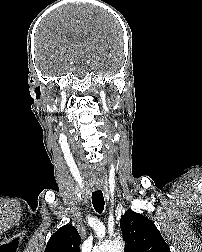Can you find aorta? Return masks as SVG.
<instances>
[{
    "mask_svg": "<svg viewBox=\"0 0 202 252\" xmlns=\"http://www.w3.org/2000/svg\"><path fill=\"white\" fill-rule=\"evenodd\" d=\"M124 243L113 241L111 243L99 244L94 248V252H123Z\"/></svg>",
    "mask_w": 202,
    "mask_h": 252,
    "instance_id": "aorta-1",
    "label": "aorta"
}]
</instances>
